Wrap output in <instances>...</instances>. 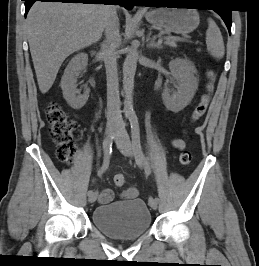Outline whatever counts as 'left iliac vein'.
I'll return each instance as SVG.
<instances>
[{"label":"left iliac vein","instance_id":"obj_1","mask_svg":"<svg viewBox=\"0 0 259 266\" xmlns=\"http://www.w3.org/2000/svg\"><path fill=\"white\" fill-rule=\"evenodd\" d=\"M116 144L120 148L121 152L125 156L132 157L135 152L133 149V145L129 139L128 133L125 129V124L123 121H120L118 124L117 131L115 133ZM149 205L152 209L156 210L158 207V203L155 202V199L149 202Z\"/></svg>","mask_w":259,"mask_h":266}]
</instances>
